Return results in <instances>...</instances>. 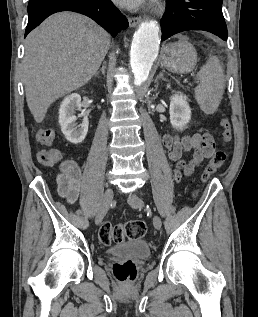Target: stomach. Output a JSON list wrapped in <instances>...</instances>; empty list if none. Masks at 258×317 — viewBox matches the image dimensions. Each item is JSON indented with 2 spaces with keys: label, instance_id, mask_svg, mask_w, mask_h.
<instances>
[{
  "label": "stomach",
  "instance_id": "1",
  "mask_svg": "<svg viewBox=\"0 0 258 317\" xmlns=\"http://www.w3.org/2000/svg\"><path fill=\"white\" fill-rule=\"evenodd\" d=\"M160 60L162 66L170 72L186 74L193 70L197 62V50L191 42L180 38L177 42H169L162 46Z\"/></svg>",
  "mask_w": 258,
  "mask_h": 317
}]
</instances>
